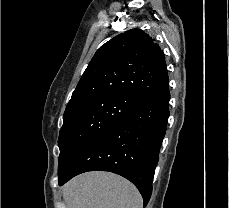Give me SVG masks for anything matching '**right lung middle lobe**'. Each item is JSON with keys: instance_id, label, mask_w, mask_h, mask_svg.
I'll use <instances>...</instances> for the list:
<instances>
[{"instance_id": "1", "label": "right lung middle lobe", "mask_w": 229, "mask_h": 208, "mask_svg": "<svg viewBox=\"0 0 229 208\" xmlns=\"http://www.w3.org/2000/svg\"><path fill=\"white\" fill-rule=\"evenodd\" d=\"M140 105V101L128 96L104 95L79 103L66 111L58 139V175H64L92 141Z\"/></svg>"}]
</instances>
